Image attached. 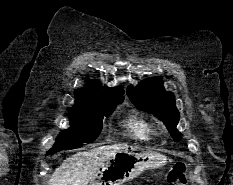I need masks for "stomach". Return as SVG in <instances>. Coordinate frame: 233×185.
<instances>
[{"mask_svg":"<svg viewBox=\"0 0 233 185\" xmlns=\"http://www.w3.org/2000/svg\"><path fill=\"white\" fill-rule=\"evenodd\" d=\"M167 158L154 151H143L134 146L115 153L95 174L88 185H123L145 170L157 169Z\"/></svg>","mask_w":233,"mask_h":185,"instance_id":"1","label":"stomach"}]
</instances>
